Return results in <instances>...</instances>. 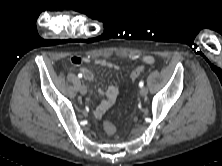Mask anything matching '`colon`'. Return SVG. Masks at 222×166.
Segmentation results:
<instances>
[{
	"label": "colon",
	"mask_w": 222,
	"mask_h": 166,
	"mask_svg": "<svg viewBox=\"0 0 222 166\" xmlns=\"http://www.w3.org/2000/svg\"><path fill=\"white\" fill-rule=\"evenodd\" d=\"M143 70H144V66H143V65H140V66H138L137 68H135V69L132 71V73H131V76H130L131 80H132V81H135V80L141 75V73L143 72ZM103 128H104L105 132H106L107 134H109V135L114 134L115 131H116L115 126H114L111 122H109V121H105V122L103 123Z\"/></svg>",
	"instance_id": "obj_1"
}]
</instances>
